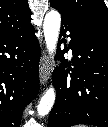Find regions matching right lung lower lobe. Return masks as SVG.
<instances>
[{"mask_svg":"<svg viewBox=\"0 0 108 127\" xmlns=\"http://www.w3.org/2000/svg\"><path fill=\"white\" fill-rule=\"evenodd\" d=\"M33 26L0 36V127H19L38 92L39 42Z\"/></svg>","mask_w":108,"mask_h":127,"instance_id":"right-lung-lower-lobe-1","label":"right lung lower lobe"}]
</instances>
